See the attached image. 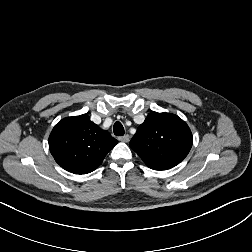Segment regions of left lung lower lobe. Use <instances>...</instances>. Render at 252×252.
I'll use <instances>...</instances> for the list:
<instances>
[{"mask_svg":"<svg viewBox=\"0 0 252 252\" xmlns=\"http://www.w3.org/2000/svg\"><path fill=\"white\" fill-rule=\"evenodd\" d=\"M177 164H172V163H164V164H159V165H156L154 168V170H166V169H170L174 166H176Z\"/></svg>","mask_w":252,"mask_h":252,"instance_id":"0a47b994","label":"left lung lower lobe"}]
</instances>
